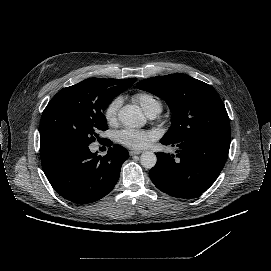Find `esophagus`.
<instances>
[{
    "mask_svg": "<svg viewBox=\"0 0 271 271\" xmlns=\"http://www.w3.org/2000/svg\"><path fill=\"white\" fill-rule=\"evenodd\" d=\"M142 153V150H130L129 154L130 156L139 155Z\"/></svg>",
    "mask_w": 271,
    "mask_h": 271,
    "instance_id": "esophagus-1",
    "label": "esophagus"
}]
</instances>
